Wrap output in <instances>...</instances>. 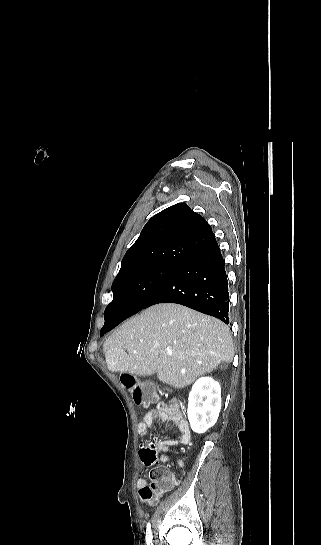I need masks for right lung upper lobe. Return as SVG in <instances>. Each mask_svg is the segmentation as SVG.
<instances>
[{
  "label": "right lung upper lobe",
  "mask_w": 321,
  "mask_h": 545,
  "mask_svg": "<svg viewBox=\"0 0 321 545\" xmlns=\"http://www.w3.org/2000/svg\"><path fill=\"white\" fill-rule=\"evenodd\" d=\"M215 235L207 221L184 203L153 216L126 252L118 273L166 264L181 266Z\"/></svg>",
  "instance_id": "obj_1"
}]
</instances>
